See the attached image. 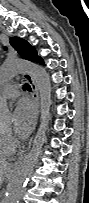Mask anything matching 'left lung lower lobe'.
Returning a JSON list of instances; mask_svg holds the SVG:
<instances>
[{
	"label": "left lung lower lobe",
	"instance_id": "1",
	"mask_svg": "<svg viewBox=\"0 0 89 203\" xmlns=\"http://www.w3.org/2000/svg\"><path fill=\"white\" fill-rule=\"evenodd\" d=\"M38 62H40L41 64H44V61L41 57H39Z\"/></svg>",
	"mask_w": 89,
	"mask_h": 203
}]
</instances>
